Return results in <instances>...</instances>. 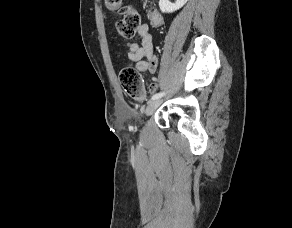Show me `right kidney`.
Segmentation results:
<instances>
[{
  "label": "right kidney",
  "instance_id": "ca27d5eb",
  "mask_svg": "<svg viewBox=\"0 0 292 228\" xmlns=\"http://www.w3.org/2000/svg\"><path fill=\"white\" fill-rule=\"evenodd\" d=\"M188 0H176L175 3H171L169 0H160L159 7L162 13H172L182 8Z\"/></svg>",
  "mask_w": 292,
  "mask_h": 228
}]
</instances>
